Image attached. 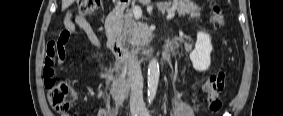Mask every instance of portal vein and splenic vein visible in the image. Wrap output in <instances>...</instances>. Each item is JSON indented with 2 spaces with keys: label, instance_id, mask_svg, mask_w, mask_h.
<instances>
[{
  "label": "portal vein and splenic vein",
  "instance_id": "obj_1",
  "mask_svg": "<svg viewBox=\"0 0 283 116\" xmlns=\"http://www.w3.org/2000/svg\"><path fill=\"white\" fill-rule=\"evenodd\" d=\"M133 15L136 19H140L142 17V10L139 6H135L133 8ZM175 16V10H170L166 17L167 20L172 19Z\"/></svg>",
  "mask_w": 283,
  "mask_h": 116
}]
</instances>
